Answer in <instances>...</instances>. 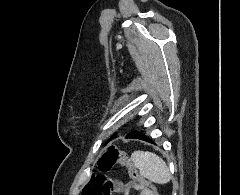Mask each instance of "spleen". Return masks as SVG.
<instances>
[{
  "instance_id": "spleen-1",
  "label": "spleen",
  "mask_w": 240,
  "mask_h": 195,
  "mask_svg": "<svg viewBox=\"0 0 240 195\" xmlns=\"http://www.w3.org/2000/svg\"><path fill=\"white\" fill-rule=\"evenodd\" d=\"M140 175L154 183H168L171 179L169 167L164 159L152 151H133L131 157Z\"/></svg>"
}]
</instances>
